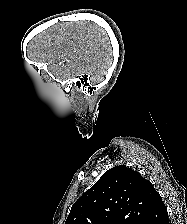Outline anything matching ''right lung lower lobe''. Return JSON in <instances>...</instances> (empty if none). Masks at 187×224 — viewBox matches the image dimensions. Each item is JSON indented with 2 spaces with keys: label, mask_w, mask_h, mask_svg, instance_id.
<instances>
[{
  "label": "right lung lower lobe",
  "mask_w": 187,
  "mask_h": 224,
  "mask_svg": "<svg viewBox=\"0 0 187 224\" xmlns=\"http://www.w3.org/2000/svg\"><path fill=\"white\" fill-rule=\"evenodd\" d=\"M157 224H169L168 214H166Z\"/></svg>",
  "instance_id": "obj_1"
}]
</instances>
